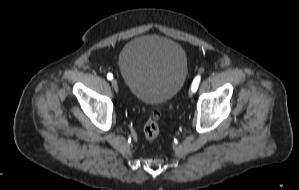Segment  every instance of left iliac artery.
<instances>
[{
  "label": "left iliac artery",
  "mask_w": 299,
  "mask_h": 190,
  "mask_svg": "<svg viewBox=\"0 0 299 190\" xmlns=\"http://www.w3.org/2000/svg\"><path fill=\"white\" fill-rule=\"evenodd\" d=\"M200 78L201 77L199 75L194 78L193 83H192V87H191V90L193 92H195L198 89Z\"/></svg>",
  "instance_id": "1"
}]
</instances>
